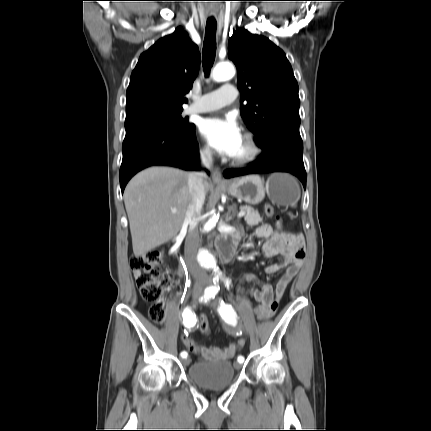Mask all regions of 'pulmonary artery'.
I'll return each mask as SVG.
<instances>
[{
	"mask_svg": "<svg viewBox=\"0 0 431 431\" xmlns=\"http://www.w3.org/2000/svg\"><path fill=\"white\" fill-rule=\"evenodd\" d=\"M237 89L234 85L226 83L219 89L195 97L194 102L187 108V113H205L218 110L237 98Z\"/></svg>",
	"mask_w": 431,
	"mask_h": 431,
	"instance_id": "pulmonary-artery-1",
	"label": "pulmonary artery"
}]
</instances>
